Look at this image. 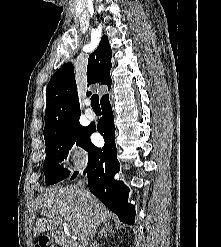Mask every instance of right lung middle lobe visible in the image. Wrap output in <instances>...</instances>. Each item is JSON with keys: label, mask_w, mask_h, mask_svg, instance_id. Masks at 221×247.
Wrapping results in <instances>:
<instances>
[{"label": "right lung middle lobe", "mask_w": 221, "mask_h": 247, "mask_svg": "<svg viewBox=\"0 0 221 247\" xmlns=\"http://www.w3.org/2000/svg\"><path fill=\"white\" fill-rule=\"evenodd\" d=\"M89 127H83L75 122L59 133L45 138L46 158L43 165L45 181L48 185L57 183L70 174L60 163L67 157L69 149L76 145L87 149L89 142Z\"/></svg>", "instance_id": "obj_1"}]
</instances>
